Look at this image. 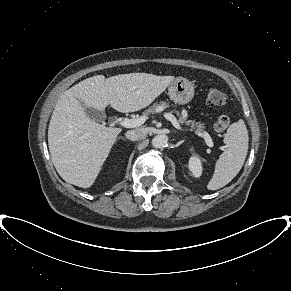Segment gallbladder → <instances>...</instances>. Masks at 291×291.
Here are the masks:
<instances>
[{
	"mask_svg": "<svg viewBox=\"0 0 291 291\" xmlns=\"http://www.w3.org/2000/svg\"><path fill=\"white\" fill-rule=\"evenodd\" d=\"M85 112L87 116L94 121H101L105 118V114L103 112L97 111L93 108L85 107Z\"/></svg>",
	"mask_w": 291,
	"mask_h": 291,
	"instance_id": "1",
	"label": "gallbladder"
}]
</instances>
